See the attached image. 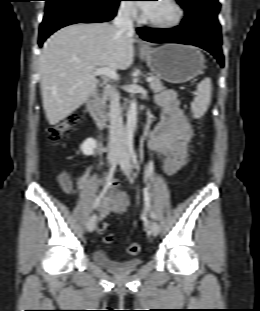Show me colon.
I'll return each mask as SVG.
<instances>
[{
  "mask_svg": "<svg viewBox=\"0 0 260 311\" xmlns=\"http://www.w3.org/2000/svg\"><path fill=\"white\" fill-rule=\"evenodd\" d=\"M79 119L76 115H72L67 117L64 121L52 125L47 129V136L50 141H56L66 135L71 129L77 126ZM108 229V224L104 223L101 228L100 232H105ZM114 240L113 234H106L103 237L104 243H112ZM128 253L130 255H137L140 252V245L138 243H131L128 246Z\"/></svg>",
  "mask_w": 260,
  "mask_h": 311,
  "instance_id": "5ec220e1",
  "label": "colon"
}]
</instances>
